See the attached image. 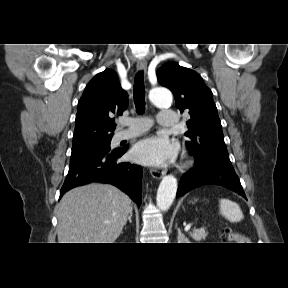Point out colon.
Wrapping results in <instances>:
<instances>
[{
    "label": "colon",
    "mask_w": 288,
    "mask_h": 288,
    "mask_svg": "<svg viewBox=\"0 0 288 288\" xmlns=\"http://www.w3.org/2000/svg\"><path fill=\"white\" fill-rule=\"evenodd\" d=\"M222 236L225 240L229 242L238 240V235L229 227L222 228Z\"/></svg>",
    "instance_id": "colon-1"
}]
</instances>
